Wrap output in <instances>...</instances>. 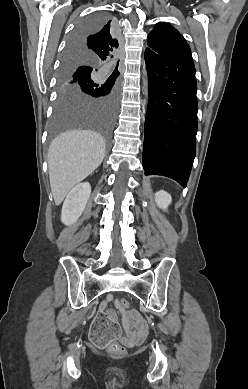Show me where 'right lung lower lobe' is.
<instances>
[{
    "label": "right lung lower lobe",
    "mask_w": 248,
    "mask_h": 389,
    "mask_svg": "<svg viewBox=\"0 0 248 389\" xmlns=\"http://www.w3.org/2000/svg\"><path fill=\"white\" fill-rule=\"evenodd\" d=\"M113 26H114V25H113ZM114 30H115V26H114ZM115 31H116V30H115ZM116 34H117V33H116ZM80 40H81V38L76 39V40L74 41L75 45H73V46H70L69 43H68V46H67L65 52L68 53V54H70V55L76 53L74 48L77 46V44H78V42H80ZM84 71H85V70H77L75 73H76V74H79V73L84 72Z\"/></svg>",
    "instance_id": "1"
}]
</instances>
